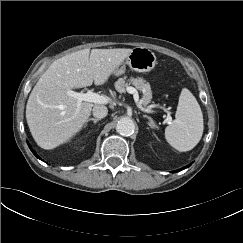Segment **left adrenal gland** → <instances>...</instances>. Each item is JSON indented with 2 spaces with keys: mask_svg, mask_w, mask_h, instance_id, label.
Instances as JSON below:
<instances>
[{
  "mask_svg": "<svg viewBox=\"0 0 243 243\" xmlns=\"http://www.w3.org/2000/svg\"><path fill=\"white\" fill-rule=\"evenodd\" d=\"M145 118H147L149 120V123L148 125L152 128V129H155L157 128V125L156 123L153 121V119L147 115H143Z\"/></svg>",
  "mask_w": 243,
  "mask_h": 243,
  "instance_id": "obj_1",
  "label": "left adrenal gland"
}]
</instances>
